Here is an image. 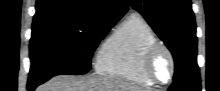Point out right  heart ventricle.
Returning <instances> with one entry per match:
<instances>
[{
  "label": "right heart ventricle",
  "instance_id": "obj_1",
  "mask_svg": "<svg viewBox=\"0 0 220 91\" xmlns=\"http://www.w3.org/2000/svg\"><path fill=\"white\" fill-rule=\"evenodd\" d=\"M157 37L150 24L139 14H130L108 37L96 58L100 75L141 86H152L143 73L141 60Z\"/></svg>",
  "mask_w": 220,
  "mask_h": 91
}]
</instances>
